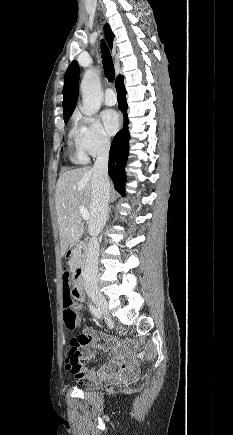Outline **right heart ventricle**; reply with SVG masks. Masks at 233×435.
Returning <instances> with one entry per match:
<instances>
[{
	"mask_svg": "<svg viewBox=\"0 0 233 435\" xmlns=\"http://www.w3.org/2000/svg\"><path fill=\"white\" fill-rule=\"evenodd\" d=\"M71 144L74 147L73 159L85 163L87 158L82 148L83 143V131L81 125L77 120L74 121L73 126L69 133Z\"/></svg>",
	"mask_w": 233,
	"mask_h": 435,
	"instance_id": "1",
	"label": "right heart ventricle"
}]
</instances>
